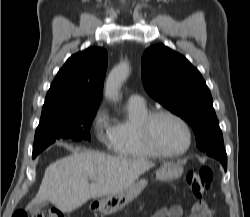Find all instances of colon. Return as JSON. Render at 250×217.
Here are the masks:
<instances>
[{"mask_svg":"<svg viewBox=\"0 0 250 217\" xmlns=\"http://www.w3.org/2000/svg\"><path fill=\"white\" fill-rule=\"evenodd\" d=\"M187 184L192 193L200 198L211 187L213 181V171L210 167L204 166L199 170L190 171L186 176ZM195 210L198 214L204 217H211L212 209L206 205L202 200H198L195 204ZM13 217H29L25 210H18ZM31 217H65V215L58 209L51 208L46 211L38 212Z\"/></svg>","mask_w":250,"mask_h":217,"instance_id":"1","label":"colon"}]
</instances>
